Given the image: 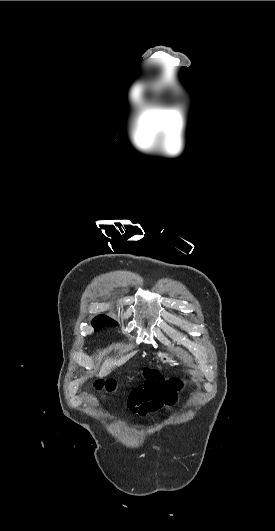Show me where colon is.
Segmentation results:
<instances>
[{"mask_svg":"<svg viewBox=\"0 0 275 531\" xmlns=\"http://www.w3.org/2000/svg\"><path fill=\"white\" fill-rule=\"evenodd\" d=\"M77 390L81 394H88L92 390V383L88 379H81L77 383Z\"/></svg>","mask_w":275,"mask_h":531,"instance_id":"5ec220e1","label":"colon"}]
</instances>
